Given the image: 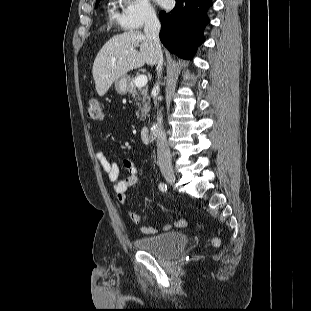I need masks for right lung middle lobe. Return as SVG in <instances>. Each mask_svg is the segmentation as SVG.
<instances>
[{
    "label": "right lung middle lobe",
    "mask_w": 311,
    "mask_h": 311,
    "mask_svg": "<svg viewBox=\"0 0 311 311\" xmlns=\"http://www.w3.org/2000/svg\"><path fill=\"white\" fill-rule=\"evenodd\" d=\"M99 1H100V0L96 1V7H97V5H98Z\"/></svg>",
    "instance_id": "right-lung-middle-lobe-1"
}]
</instances>
